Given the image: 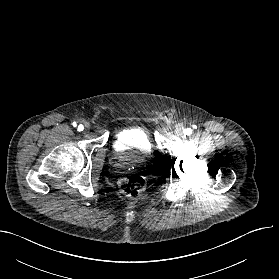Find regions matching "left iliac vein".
Instances as JSON below:
<instances>
[{"instance_id": "1", "label": "left iliac vein", "mask_w": 279, "mask_h": 279, "mask_svg": "<svg viewBox=\"0 0 279 279\" xmlns=\"http://www.w3.org/2000/svg\"><path fill=\"white\" fill-rule=\"evenodd\" d=\"M175 133H176L177 136L183 137L184 133H185L184 127L181 126V125H177L176 128H175Z\"/></svg>"}]
</instances>
